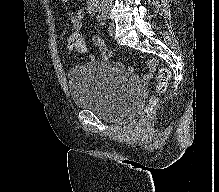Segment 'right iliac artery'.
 Segmentation results:
<instances>
[{
	"label": "right iliac artery",
	"instance_id": "82829eb1",
	"mask_svg": "<svg viewBox=\"0 0 219 192\" xmlns=\"http://www.w3.org/2000/svg\"><path fill=\"white\" fill-rule=\"evenodd\" d=\"M96 19H97V21H98V23L100 24V25H105V17L101 14V15H97V17H96Z\"/></svg>",
	"mask_w": 219,
	"mask_h": 192
}]
</instances>
